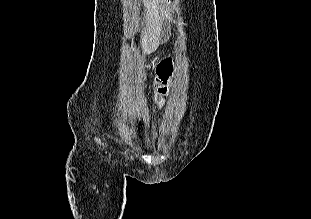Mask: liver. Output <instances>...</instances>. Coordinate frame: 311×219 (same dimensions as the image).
I'll return each mask as SVG.
<instances>
[{"label":"liver","instance_id":"6515ba94","mask_svg":"<svg viewBox=\"0 0 311 219\" xmlns=\"http://www.w3.org/2000/svg\"><path fill=\"white\" fill-rule=\"evenodd\" d=\"M147 10L146 14V32L142 38V48L149 52L153 50L160 35V24L165 13L164 8L168 5V0H143Z\"/></svg>","mask_w":311,"mask_h":219}]
</instances>
